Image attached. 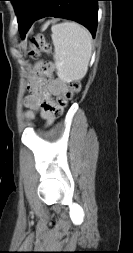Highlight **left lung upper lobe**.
Wrapping results in <instances>:
<instances>
[{"label":"left lung upper lobe","instance_id":"5c2ea615","mask_svg":"<svg viewBox=\"0 0 133 253\" xmlns=\"http://www.w3.org/2000/svg\"><path fill=\"white\" fill-rule=\"evenodd\" d=\"M12 2L13 6H14V9H15V12H16V15H18L21 7H22V4L25 0H9Z\"/></svg>","mask_w":133,"mask_h":253}]
</instances>
